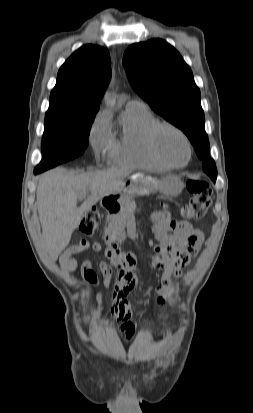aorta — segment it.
<instances>
[{"label":"aorta","instance_id":"obj_1","mask_svg":"<svg viewBox=\"0 0 253 413\" xmlns=\"http://www.w3.org/2000/svg\"><path fill=\"white\" fill-rule=\"evenodd\" d=\"M106 101H107L108 103H113V102H114V98H113V96H112L110 93L107 94V96H106Z\"/></svg>","mask_w":253,"mask_h":413}]
</instances>
